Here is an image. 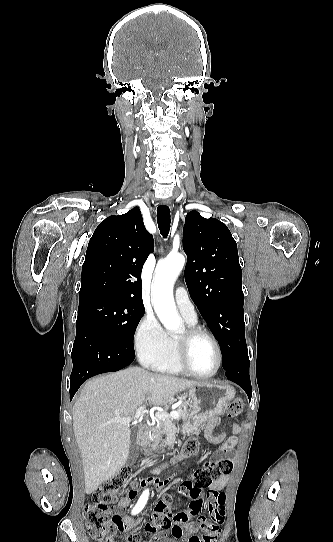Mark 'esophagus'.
<instances>
[{
    "mask_svg": "<svg viewBox=\"0 0 333 542\" xmlns=\"http://www.w3.org/2000/svg\"><path fill=\"white\" fill-rule=\"evenodd\" d=\"M163 204L164 205H170L171 204V199L170 198H166V199H163Z\"/></svg>",
    "mask_w": 333,
    "mask_h": 542,
    "instance_id": "obj_1",
    "label": "esophagus"
}]
</instances>
